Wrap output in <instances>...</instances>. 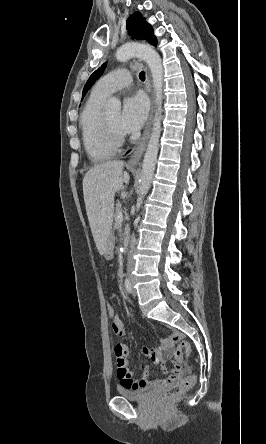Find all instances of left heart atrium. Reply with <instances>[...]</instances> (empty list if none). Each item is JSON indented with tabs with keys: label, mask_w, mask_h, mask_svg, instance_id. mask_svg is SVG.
I'll list each match as a JSON object with an SVG mask.
<instances>
[{
	"label": "left heart atrium",
	"mask_w": 266,
	"mask_h": 444,
	"mask_svg": "<svg viewBox=\"0 0 266 444\" xmlns=\"http://www.w3.org/2000/svg\"><path fill=\"white\" fill-rule=\"evenodd\" d=\"M148 115V102L142 94L128 97L123 104L119 119V127L125 134L139 130Z\"/></svg>",
	"instance_id": "39dd6f15"
}]
</instances>
